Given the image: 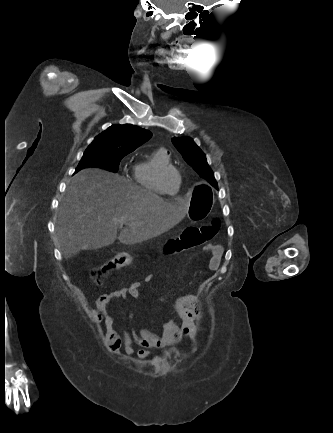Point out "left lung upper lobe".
Masks as SVG:
<instances>
[{
	"instance_id": "obj_1",
	"label": "left lung upper lobe",
	"mask_w": 333,
	"mask_h": 433,
	"mask_svg": "<svg viewBox=\"0 0 333 433\" xmlns=\"http://www.w3.org/2000/svg\"><path fill=\"white\" fill-rule=\"evenodd\" d=\"M172 142L185 161L213 186H217L214 174L208 166L205 154L191 138H173Z\"/></svg>"
}]
</instances>
